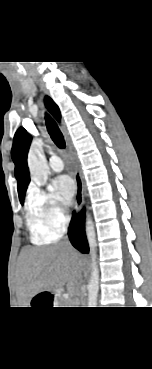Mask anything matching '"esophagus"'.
<instances>
[{
	"mask_svg": "<svg viewBox=\"0 0 152 369\" xmlns=\"http://www.w3.org/2000/svg\"><path fill=\"white\" fill-rule=\"evenodd\" d=\"M67 147L72 155L75 164V172H74V180L76 184V193H75V211L78 214L82 209V205L84 203V189H83V181L80 172V168L78 163L76 162L75 154L72 151L69 140H66Z\"/></svg>",
	"mask_w": 152,
	"mask_h": 369,
	"instance_id": "obj_1",
	"label": "esophagus"
}]
</instances>
